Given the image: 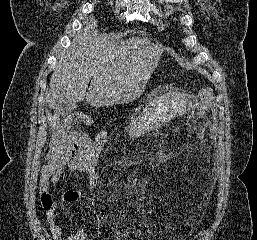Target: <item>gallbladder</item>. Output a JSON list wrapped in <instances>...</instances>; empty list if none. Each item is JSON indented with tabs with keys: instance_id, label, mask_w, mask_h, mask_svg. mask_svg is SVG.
Segmentation results:
<instances>
[{
	"instance_id": "obj_1",
	"label": "gallbladder",
	"mask_w": 257,
	"mask_h": 240,
	"mask_svg": "<svg viewBox=\"0 0 257 240\" xmlns=\"http://www.w3.org/2000/svg\"><path fill=\"white\" fill-rule=\"evenodd\" d=\"M75 109L76 104L74 102L68 101L62 93L58 96L54 107L56 113L65 116L72 113Z\"/></svg>"
}]
</instances>
